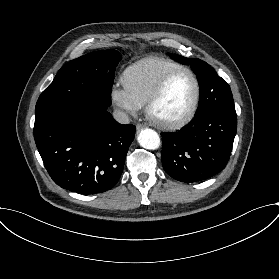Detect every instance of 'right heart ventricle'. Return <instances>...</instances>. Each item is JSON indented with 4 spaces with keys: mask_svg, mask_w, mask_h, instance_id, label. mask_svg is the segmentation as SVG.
I'll list each match as a JSON object with an SVG mask.
<instances>
[{
    "mask_svg": "<svg viewBox=\"0 0 279 279\" xmlns=\"http://www.w3.org/2000/svg\"><path fill=\"white\" fill-rule=\"evenodd\" d=\"M183 68L186 67L169 59H144L127 69L124 83L146 102L167 74Z\"/></svg>",
    "mask_w": 279,
    "mask_h": 279,
    "instance_id": "obj_1",
    "label": "right heart ventricle"
}]
</instances>
